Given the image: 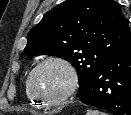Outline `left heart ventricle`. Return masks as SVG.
Listing matches in <instances>:
<instances>
[{"instance_id":"1","label":"left heart ventricle","mask_w":131,"mask_h":115,"mask_svg":"<svg viewBox=\"0 0 131 115\" xmlns=\"http://www.w3.org/2000/svg\"><path fill=\"white\" fill-rule=\"evenodd\" d=\"M33 89L43 98L59 96L68 84L66 70L57 64H48L40 68L33 77Z\"/></svg>"}]
</instances>
